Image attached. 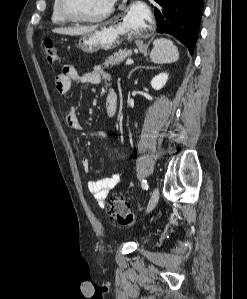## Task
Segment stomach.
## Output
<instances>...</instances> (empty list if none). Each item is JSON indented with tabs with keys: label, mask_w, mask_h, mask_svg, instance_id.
I'll return each mask as SVG.
<instances>
[{
	"label": "stomach",
	"mask_w": 247,
	"mask_h": 299,
	"mask_svg": "<svg viewBox=\"0 0 247 299\" xmlns=\"http://www.w3.org/2000/svg\"><path fill=\"white\" fill-rule=\"evenodd\" d=\"M126 34L127 30L121 23L108 21L93 32L83 35L78 46L85 53H94L99 49L109 50L117 47Z\"/></svg>",
	"instance_id": "0dacf381"
}]
</instances>
